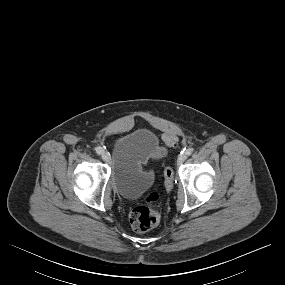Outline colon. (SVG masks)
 Masks as SVG:
<instances>
[{
  "label": "colon",
  "mask_w": 285,
  "mask_h": 285,
  "mask_svg": "<svg viewBox=\"0 0 285 285\" xmlns=\"http://www.w3.org/2000/svg\"><path fill=\"white\" fill-rule=\"evenodd\" d=\"M165 146H174L177 143V137L173 134H167L164 138ZM173 170L166 167L164 170V186L167 190L173 186ZM158 199V194L152 192L147 197V202L152 203ZM160 221L159 213L148 205H138L130 212V224L137 232H146L158 225Z\"/></svg>",
  "instance_id": "5ec220e1"
}]
</instances>
